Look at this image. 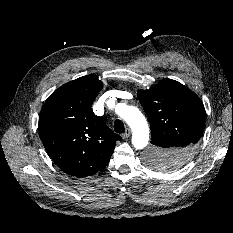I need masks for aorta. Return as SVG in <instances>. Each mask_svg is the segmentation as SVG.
Listing matches in <instances>:
<instances>
[{
	"mask_svg": "<svg viewBox=\"0 0 233 233\" xmlns=\"http://www.w3.org/2000/svg\"><path fill=\"white\" fill-rule=\"evenodd\" d=\"M117 114L132 130V144L136 149H143L149 140V127L143 114L135 107L118 105Z\"/></svg>",
	"mask_w": 233,
	"mask_h": 233,
	"instance_id": "obj_1",
	"label": "aorta"
}]
</instances>
